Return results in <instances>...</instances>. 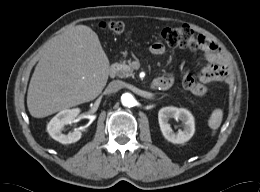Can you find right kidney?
Segmentation results:
<instances>
[{
    "label": "right kidney",
    "instance_id": "right-kidney-1",
    "mask_svg": "<svg viewBox=\"0 0 260 192\" xmlns=\"http://www.w3.org/2000/svg\"><path fill=\"white\" fill-rule=\"evenodd\" d=\"M79 113L80 109L75 108L65 109L56 114L47 125V131L50 136L62 144L77 142L82 136V130L75 129L73 132L65 135L61 132V129L64 125L71 123ZM83 131H86V129Z\"/></svg>",
    "mask_w": 260,
    "mask_h": 192
}]
</instances>
